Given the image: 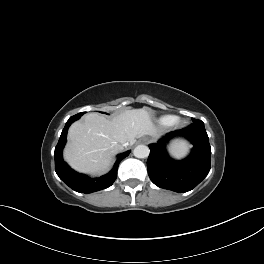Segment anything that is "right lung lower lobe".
I'll use <instances>...</instances> for the list:
<instances>
[{"instance_id": "right-lung-lower-lobe-1", "label": "right lung lower lobe", "mask_w": 264, "mask_h": 264, "mask_svg": "<svg viewBox=\"0 0 264 264\" xmlns=\"http://www.w3.org/2000/svg\"><path fill=\"white\" fill-rule=\"evenodd\" d=\"M82 114H76L69 118L61 133L58 144L55 148V171L59 178L65 182L71 189L80 193H92L110 187L117 178L118 165L122 159L129 155L130 151L120 154L114 164L113 169L98 178H90L72 170L62 158V150L66 143L67 131L69 126L80 118Z\"/></svg>"}]
</instances>
